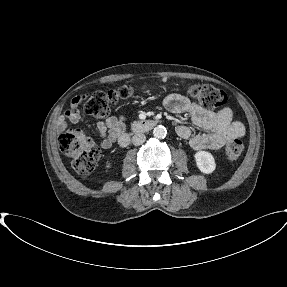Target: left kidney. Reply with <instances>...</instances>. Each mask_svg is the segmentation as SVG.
<instances>
[{
	"label": "left kidney",
	"mask_w": 287,
	"mask_h": 287,
	"mask_svg": "<svg viewBox=\"0 0 287 287\" xmlns=\"http://www.w3.org/2000/svg\"><path fill=\"white\" fill-rule=\"evenodd\" d=\"M195 161L198 169L205 174L212 173L216 168L213 155L207 151H198L195 154Z\"/></svg>",
	"instance_id": "1"
}]
</instances>
